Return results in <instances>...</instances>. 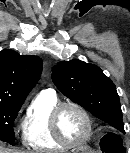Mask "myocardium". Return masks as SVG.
Segmentation results:
<instances>
[{
    "mask_svg": "<svg viewBox=\"0 0 130 153\" xmlns=\"http://www.w3.org/2000/svg\"><path fill=\"white\" fill-rule=\"evenodd\" d=\"M66 107H73V108L77 109L83 115V117L86 121L87 131H86L84 138L80 142L69 141L68 139H66L64 137V135L62 134V132L60 130L59 117H60V114L63 111V109ZM50 128H51L52 134L55 137V139L60 144H62L63 146H65L67 148L83 147L90 140L91 135H92V131H93L92 119H91L88 111L81 104L74 102V101L60 102L59 104H57L53 108V110L51 111V114H50Z\"/></svg>",
    "mask_w": 130,
    "mask_h": 153,
    "instance_id": "myocardium-1",
    "label": "myocardium"
}]
</instances>
